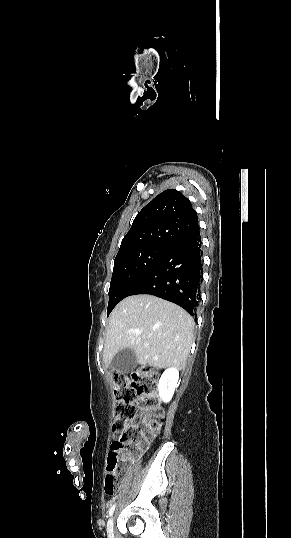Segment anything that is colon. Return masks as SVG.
I'll list each match as a JSON object with an SVG mask.
<instances>
[{"mask_svg": "<svg viewBox=\"0 0 291 538\" xmlns=\"http://www.w3.org/2000/svg\"><path fill=\"white\" fill-rule=\"evenodd\" d=\"M157 378L151 367H140L131 374L113 372V443L106 462L107 493L118 489L128 462L155 438L162 425L164 410L157 394Z\"/></svg>", "mask_w": 291, "mask_h": 538, "instance_id": "colon-1", "label": "colon"}]
</instances>
